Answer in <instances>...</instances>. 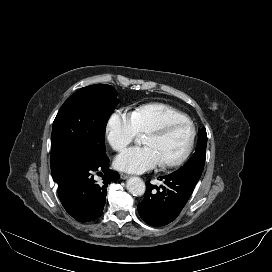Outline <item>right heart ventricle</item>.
<instances>
[{"label": "right heart ventricle", "instance_id": "right-heart-ventricle-1", "mask_svg": "<svg viewBox=\"0 0 272 272\" xmlns=\"http://www.w3.org/2000/svg\"><path fill=\"white\" fill-rule=\"evenodd\" d=\"M139 133H147L168 121L189 120L188 116L177 108L160 102L141 105L132 112Z\"/></svg>", "mask_w": 272, "mask_h": 272}]
</instances>
